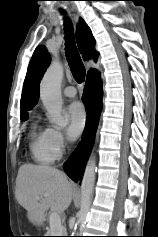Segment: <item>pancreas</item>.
Wrapping results in <instances>:
<instances>
[{"mask_svg": "<svg viewBox=\"0 0 158 237\" xmlns=\"http://www.w3.org/2000/svg\"><path fill=\"white\" fill-rule=\"evenodd\" d=\"M62 233H63V227L62 226H60V227H58L56 229H53L50 226V228L48 229L46 235L47 236H58V235H62Z\"/></svg>", "mask_w": 158, "mask_h": 237, "instance_id": "cf45deb5", "label": "pancreas"}]
</instances>
